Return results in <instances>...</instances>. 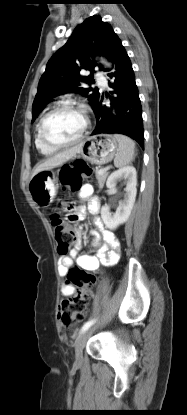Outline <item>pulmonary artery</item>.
<instances>
[{"instance_id":"pulmonary-artery-1","label":"pulmonary artery","mask_w":187,"mask_h":415,"mask_svg":"<svg viewBox=\"0 0 187 415\" xmlns=\"http://www.w3.org/2000/svg\"><path fill=\"white\" fill-rule=\"evenodd\" d=\"M95 76H96V80H97V82H98V83H99L102 87H106V86H107V82H106V79H105V77H104L103 73H101V72H96Z\"/></svg>"}]
</instances>
